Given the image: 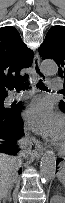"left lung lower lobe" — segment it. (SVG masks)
<instances>
[{"instance_id": "0a47b994", "label": "left lung lower lobe", "mask_w": 65, "mask_h": 203, "mask_svg": "<svg viewBox=\"0 0 65 203\" xmlns=\"http://www.w3.org/2000/svg\"><path fill=\"white\" fill-rule=\"evenodd\" d=\"M62 160H65V158H64V159H62V158L57 159V160H56V164H58V163L61 162Z\"/></svg>"}]
</instances>
